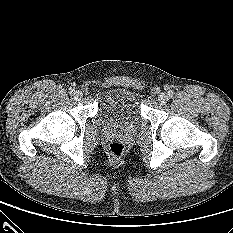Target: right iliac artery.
Returning a JSON list of instances; mask_svg holds the SVG:
<instances>
[{
	"label": "right iliac artery",
	"instance_id": "82829eb1",
	"mask_svg": "<svg viewBox=\"0 0 233 233\" xmlns=\"http://www.w3.org/2000/svg\"><path fill=\"white\" fill-rule=\"evenodd\" d=\"M69 93L73 94L74 93V89L73 88H69Z\"/></svg>",
	"mask_w": 233,
	"mask_h": 233
}]
</instances>
